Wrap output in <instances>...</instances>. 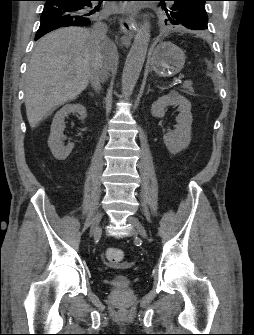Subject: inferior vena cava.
I'll return each instance as SVG.
<instances>
[{"instance_id": "inferior-vena-cava-1", "label": "inferior vena cava", "mask_w": 254, "mask_h": 335, "mask_svg": "<svg viewBox=\"0 0 254 335\" xmlns=\"http://www.w3.org/2000/svg\"><path fill=\"white\" fill-rule=\"evenodd\" d=\"M107 26L103 23H96L91 31V36L95 42H101L107 39ZM108 78V69L103 64L102 60L97 57L94 60L93 67L90 73L91 86L96 90L101 88V82Z\"/></svg>"}]
</instances>
